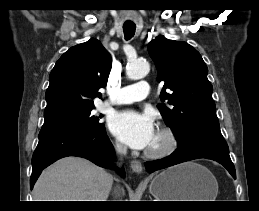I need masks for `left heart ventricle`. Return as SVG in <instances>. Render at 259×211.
Instances as JSON below:
<instances>
[{"label":"left heart ventricle","instance_id":"obj_1","mask_svg":"<svg viewBox=\"0 0 259 211\" xmlns=\"http://www.w3.org/2000/svg\"><path fill=\"white\" fill-rule=\"evenodd\" d=\"M161 144H162V138L158 133H156L151 145L148 148H155Z\"/></svg>","mask_w":259,"mask_h":211}]
</instances>
